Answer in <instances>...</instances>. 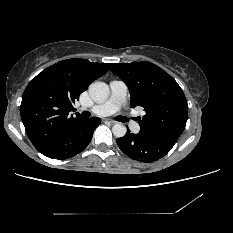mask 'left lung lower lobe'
Masks as SVG:
<instances>
[{
	"instance_id": "1",
	"label": "left lung lower lobe",
	"mask_w": 233,
	"mask_h": 233,
	"mask_svg": "<svg viewBox=\"0 0 233 233\" xmlns=\"http://www.w3.org/2000/svg\"><path fill=\"white\" fill-rule=\"evenodd\" d=\"M120 150L130 158L144 163L154 162L165 156L175 143L155 139L142 133L133 134L127 129L125 136L117 138Z\"/></svg>"
}]
</instances>
